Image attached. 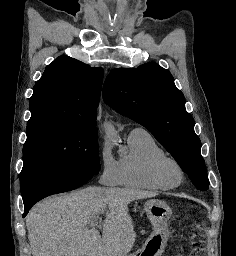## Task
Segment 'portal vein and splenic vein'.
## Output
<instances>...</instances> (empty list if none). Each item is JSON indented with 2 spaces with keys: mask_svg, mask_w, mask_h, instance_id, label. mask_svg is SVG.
<instances>
[{
  "mask_svg": "<svg viewBox=\"0 0 236 256\" xmlns=\"http://www.w3.org/2000/svg\"><path fill=\"white\" fill-rule=\"evenodd\" d=\"M100 218H92V220H89L88 226L89 228H95V226H98Z\"/></svg>",
  "mask_w": 236,
  "mask_h": 256,
  "instance_id": "portal-vein-and-splenic-vein-1",
  "label": "portal vein and splenic vein"
}]
</instances>
